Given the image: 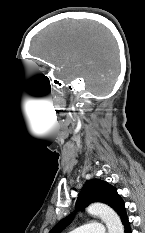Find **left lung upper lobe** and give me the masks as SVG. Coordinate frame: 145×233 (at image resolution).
Masks as SVG:
<instances>
[{
    "mask_svg": "<svg viewBox=\"0 0 145 233\" xmlns=\"http://www.w3.org/2000/svg\"><path fill=\"white\" fill-rule=\"evenodd\" d=\"M92 202H103L113 208L120 216L123 224L128 220L122 198L117 193L116 188L106 181L99 179L88 180L78 195L76 206L82 210ZM73 217L74 215L71 214L62 219L49 233H60L71 223Z\"/></svg>",
    "mask_w": 145,
    "mask_h": 233,
    "instance_id": "obj_1",
    "label": "left lung upper lobe"
}]
</instances>
